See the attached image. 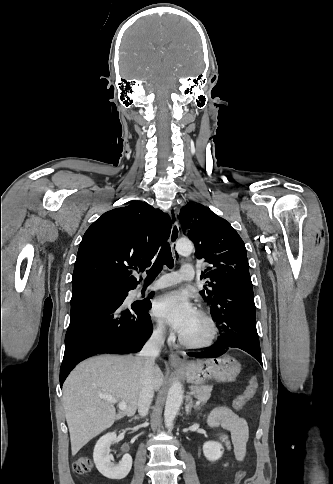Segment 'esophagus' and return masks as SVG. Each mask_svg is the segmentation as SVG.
<instances>
[{"instance_id": "obj_1", "label": "esophagus", "mask_w": 333, "mask_h": 484, "mask_svg": "<svg viewBox=\"0 0 333 484\" xmlns=\"http://www.w3.org/2000/svg\"><path fill=\"white\" fill-rule=\"evenodd\" d=\"M177 211H170V215L172 217V228H171V233H170V244L172 248H174L175 243L177 242L179 236H180V229H179V224L177 221ZM169 363L172 366H183L185 364V361L182 360L177 354L171 353L169 355Z\"/></svg>"}]
</instances>
